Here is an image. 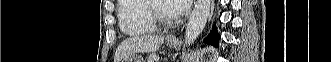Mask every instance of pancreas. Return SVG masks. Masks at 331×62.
Here are the masks:
<instances>
[{"label":"pancreas","instance_id":"cf45deb5","mask_svg":"<svg viewBox=\"0 0 331 62\" xmlns=\"http://www.w3.org/2000/svg\"><path fill=\"white\" fill-rule=\"evenodd\" d=\"M159 57L158 56H149L147 62H158Z\"/></svg>","mask_w":331,"mask_h":62}]
</instances>
